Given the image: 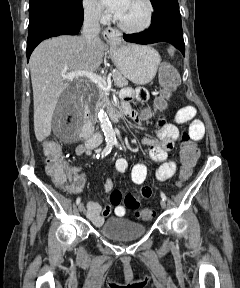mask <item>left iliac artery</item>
I'll return each mask as SVG.
<instances>
[{
    "instance_id": "44dca946",
    "label": "left iliac artery",
    "mask_w": 240,
    "mask_h": 288,
    "mask_svg": "<svg viewBox=\"0 0 240 288\" xmlns=\"http://www.w3.org/2000/svg\"><path fill=\"white\" fill-rule=\"evenodd\" d=\"M114 145L117 146L118 148L122 149V146L117 142V140L114 141ZM160 194H161V198H162L164 201H166V199H167V198H166V195H165L163 192H161Z\"/></svg>"
}]
</instances>
